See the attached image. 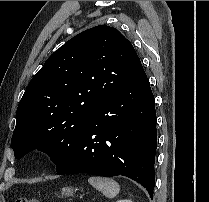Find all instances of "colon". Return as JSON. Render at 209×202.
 <instances>
[{
	"mask_svg": "<svg viewBox=\"0 0 209 202\" xmlns=\"http://www.w3.org/2000/svg\"><path fill=\"white\" fill-rule=\"evenodd\" d=\"M15 202H39V201L35 198H20Z\"/></svg>",
	"mask_w": 209,
	"mask_h": 202,
	"instance_id": "colon-1",
	"label": "colon"
}]
</instances>
